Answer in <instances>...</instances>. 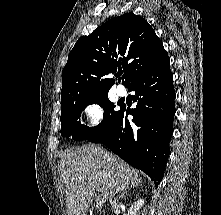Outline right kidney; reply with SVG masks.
<instances>
[{
    "label": "right kidney",
    "instance_id": "right-kidney-1",
    "mask_svg": "<svg viewBox=\"0 0 221 215\" xmlns=\"http://www.w3.org/2000/svg\"><path fill=\"white\" fill-rule=\"evenodd\" d=\"M144 203H145L144 199H139L135 201L128 210V215H137V212L140 210V208L143 207Z\"/></svg>",
    "mask_w": 221,
    "mask_h": 215
}]
</instances>
